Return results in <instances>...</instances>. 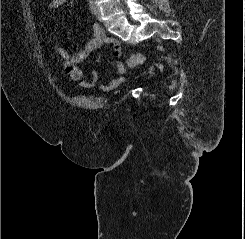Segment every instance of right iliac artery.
Instances as JSON below:
<instances>
[{"label": "right iliac artery", "instance_id": "obj_1", "mask_svg": "<svg viewBox=\"0 0 245 239\" xmlns=\"http://www.w3.org/2000/svg\"><path fill=\"white\" fill-rule=\"evenodd\" d=\"M89 7H90V10L91 12L96 15V12H95V4L92 0H89Z\"/></svg>", "mask_w": 245, "mask_h": 239}]
</instances>
